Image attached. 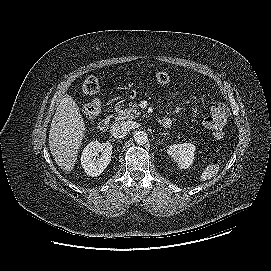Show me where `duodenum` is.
<instances>
[{
	"mask_svg": "<svg viewBox=\"0 0 271 271\" xmlns=\"http://www.w3.org/2000/svg\"><path fill=\"white\" fill-rule=\"evenodd\" d=\"M109 124H110V117L106 116L104 118H102L99 122H98V130L101 132H106L109 128ZM161 125L165 128H169L171 126V119L168 117H164L161 120Z\"/></svg>",
	"mask_w": 271,
	"mask_h": 271,
	"instance_id": "1",
	"label": "duodenum"
}]
</instances>
